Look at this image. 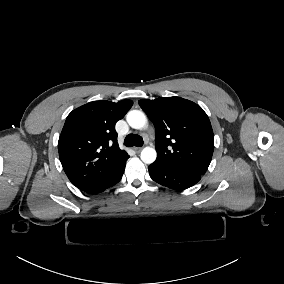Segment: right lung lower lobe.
I'll use <instances>...</instances> for the list:
<instances>
[{
  "mask_svg": "<svg viewBox=\"0 0 284 284\" xmlns=\"http://www.w3.org/2000/svg\"><path fill=\"white\" fill-rule=\"evenodd\" d=\"M127 159L115 171H113L104 181H102L97 186L88 190L87 193L89 194L100 193L117 184L122 178Z\"/></svg>",
  "mask_w": 284,
  "mask_h": 284,
  "instance_id": "1",
  "label": "right lung lower lobe"
}]
</instances>
